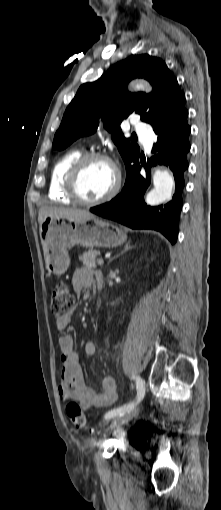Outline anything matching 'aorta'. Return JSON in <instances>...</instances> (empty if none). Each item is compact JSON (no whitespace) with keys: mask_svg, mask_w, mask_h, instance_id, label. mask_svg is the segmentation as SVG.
<instances>
[{"mask_svg":"<svg viewBox=\"0 0 221 510\" xmlns=\"http://www.w3.org/2000/svg\"><path fill=\"white\" fill-rule=\"evenodd\" d=\"M139 87L144 88L143 85ZM153 185L154 188L146 196V203L148 205L156 206L171 198L174 179L168 171L162 169L155 170Z\"/></svg>","mask_w":221,"mask_h":510,"instance_id":"obj_1","label":"aorta"}]
</instances>
